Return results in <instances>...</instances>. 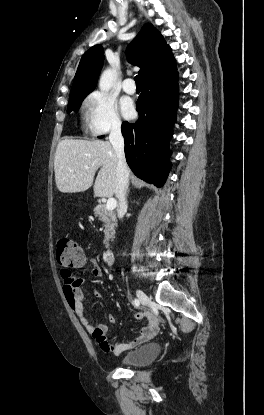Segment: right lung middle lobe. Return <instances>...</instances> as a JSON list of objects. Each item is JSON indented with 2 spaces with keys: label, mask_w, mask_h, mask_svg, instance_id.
I'll return each mask as SVG.
<instances>
[{
  "label": "right lung middle lobe",
  "mask_w": 264,
  "mask_h": 415,
  "mask_svg": "<svg viewBox=\"0 0 264 415\" xmlns=\"http://www.w3.org/2000/svg\"><path fill=\"white\" fill-rule=\"evenodd\" d=\"M85 97L86 95H77L69 97L68 113H70L72 110L77 111Z\"/></svg>",
  "instance_id": "right-lung-middle-lobe-1"
}]
</instances>
